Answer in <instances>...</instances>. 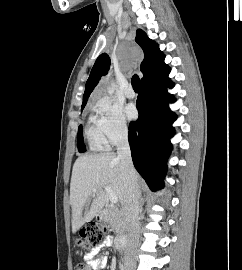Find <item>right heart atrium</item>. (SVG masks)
<instances>
[{"label":"right heart atrium","instance_id":"d8ad5b80","mask_svg":"<svg viewBox=\"0 0 242 270\" xmlns=\"http://www.w3.org/2000/svg\"><path fill=\"white\" fill-rule=\"evenodd\" d=\"M95 110L107 145H116L127 138L129 127L119 105L101 98L96 101Z\"/></svg>","mask_w":242,"mask_h":270}]
</instances>
